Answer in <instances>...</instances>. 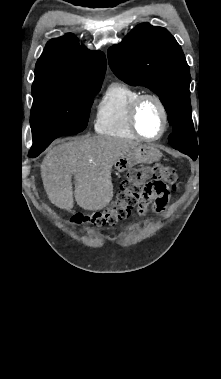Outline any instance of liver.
<instances>
[{"label": "liver", "mask_w": 221, "mask_h": 379, "mask_svg": "<svg viewBox=\"0 0 221 379\" xmlns=\"http://www.w3.org/2000/svg\"><path fill=\"white\" fill-rule=\"evenodd\" d=\"M137 145L130 140L94 136L49 149L41 164V176L49 200L65 210L73 208L74 197L85 210L103 209L113 198L112 166L123 153Z\"/></svg>", "instance_id": "6515ba94"}]
</instances>
